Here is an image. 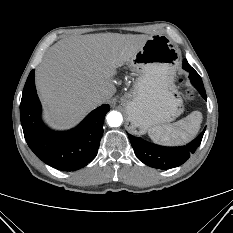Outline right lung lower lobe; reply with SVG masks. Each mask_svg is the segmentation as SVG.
I'll use <instances>...</instances> for the list:
<instances>
[{"mask_svg": "<svg viewBox=\"0 0 233 233\" xmlns=\"http://www.w3.org/2000/svg\"><path fill=\"white\" fill-rule=\"evenodd\" d=\"M109 105L92 111L76 128L54 132L41 122V105L36 93L34 70L25 83L20 116L25 140L44 163L62 171H75L86 166L97 155L103 134V121Z\"/></svg>", "mask_w": 233, "mask_h": 233, "instance_id": "obj_1", "label": "right lung lower lobe"}]
</instances>
